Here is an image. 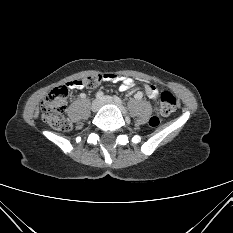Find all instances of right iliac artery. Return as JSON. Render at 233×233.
Wrapping results in <instances>:
<instances>
[{"mask_svg": "<svg viewBox=\"0 0 233 233\" xmlns=\"http://www.w3.org/2000/svg\"><path fill=\"white\" fill-rule=\"evenodd\" d=\"M95 96H96L97 99H102L104 97V93L99 91V92L96 93Z\"/></svg>", "mask_w": 233, "mask_h": 233, "instance_id": "82829eb1", "label": "right iliac artery"}]
</instances>
